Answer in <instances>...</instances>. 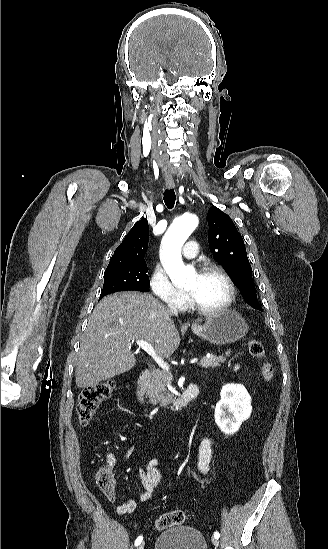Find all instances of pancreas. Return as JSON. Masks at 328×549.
<instances>
[{
    "mask_svg": "<svg viewBox=\"0 0 328 549\" xmlns=\"http://www.w3.org/2000/svg\"><path fill=\"white\" fill-rule=\"evenodd\" d=\"M230 349L226 351V357H230ZM226 361L225 357H216V355H210V357H202L200 367L204 369H214V367H220V363ZM173 381V375L171 371H154L151 373L150 379L146 387V395L150 399V403H160V405H169L172 403L173 397L168 393L166 387L171 385Z\"/></svg>",
    "mask_w": 328,
    "mask_h": 549,
    "instance_id": "1",
    "label": "pancreas"
}]
</instances>
